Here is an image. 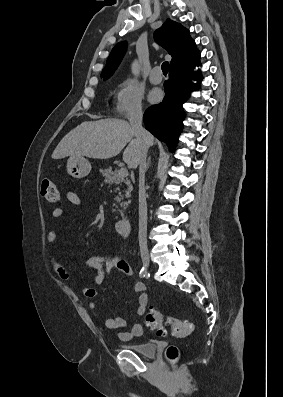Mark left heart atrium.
<instances>
[{"label":"left heart atrium","mask_w":283,"mask_h":397,"mask_svg":"<svg viewBox=\"0 0 283 397\" xmlns=\"http://www.w3.org/2000/svg\"><path fill=\"white\" fill-rule=\"evenodd\" d=\"M162 97H163V92L158 88L152 89L148 95V99L151 103H157L161 101Z\"/></svg>","instance_id":"1"}]
</instances>
